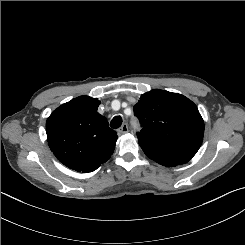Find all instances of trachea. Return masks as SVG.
Returning a JSON list of instances; mask_svg holds the SVG:
<instances>
[{
    "label": "trachea",
    "instance_id": "3493384b",
    "mask_svg": "<svg viewBox=\"0 0 245 245\" xmlns=\"http://www.w3.org/2000/svg\"><path fill=\"white\" fill-rule=\"evenodd\" d=\"M121 124H122V118H121V116H115V117L111 120V122H110V126H111V128H113V129L119 128V127L121 126Z\"/></svg>",
    "mask_w": 245,
    "mask_h": 245
}]
</instances>
